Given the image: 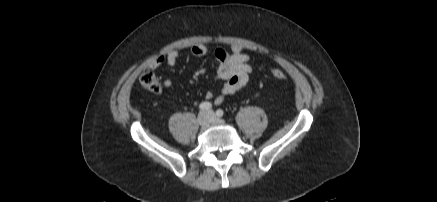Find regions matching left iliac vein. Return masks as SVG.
Returning <instances> with one entry per match:
<instances>
[{
    "mask_svg": "<svg viewBox=\"0 0 437 202\" xmlns=\"http://www.w3.org/2000/svg\"><path fill=\"white\" fill-rule=\"evenodd\" d=\"M207 114L211 118V123H213V124H223L224 123V120L216 117V115L214 114L213 111H208Z\"/></svg>",
    "mask_w": 437,
    "mask_h": 202,
    "instance_id": "4c4485c4",
    "label": "left iliac vein"
}]
</instances>
